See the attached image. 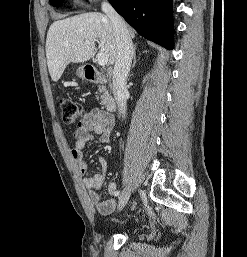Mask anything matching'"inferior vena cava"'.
<instances>
[{"instance_id": "obj_1", "label": "inferior vena cava", "mask_w": 247, "mask_h": 257, "mask_svg": "<svg viewBox=\"0 0 247 257\" xmlns=\"http://www.w3.org/2000/svg\"><path fill=\"white\" fill-rule=\"evenodd\" d=\"M102 11L113 24L117 44V56L113 71V94L117 102L119 114L122 118H125L128 97L126 80L130 71L134 48L127 25L106 0L102 3Z\"/></svg>"}]
</instances>
